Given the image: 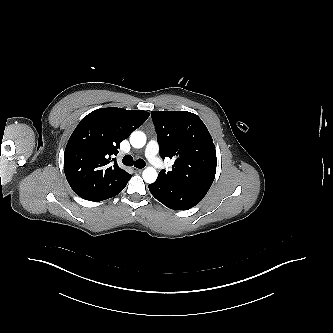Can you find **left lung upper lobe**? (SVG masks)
Instances as JSON below:
<instances>
[{"instance_id": "obj_1", "label": "left lung upper lobe", "mask_w": 333, "mask_h": 333, "mask_svg": "<svg viewBox=\"0 0 333 333\" xmlns=\"http://www.w3.org/2000/svg\"><path fill=\"white\" fill-rule=\"evenodd\" d=\"M160 156L174 158L172 170H161L173 184L208 191L214 181L217 158L212 137L202 120L187 111H152Z\"/></svg>"}]
</instances>
